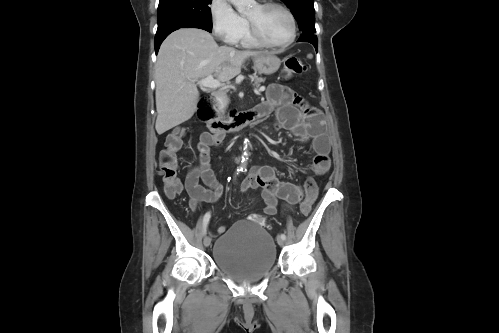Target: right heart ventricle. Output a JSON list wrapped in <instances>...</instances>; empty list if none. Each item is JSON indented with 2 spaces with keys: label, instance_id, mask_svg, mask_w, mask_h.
Wrapping results in <instances>:
<instances>
[{
  "label": "right heart ventricle",
  "instance_id": "1",
  "mask_svg": "<svg viewBox=\"0 0 499 333\" xmlns=\"http://www.w3.org/2000/svg\"><path fill=\"white\" fill-rule=\"evenodd\" d=\"M236 43L247 48H259L262 46L252 38L247 26Z\"/></svg>",
  "mask_w": 499,
  "mask_h": 333
}]
</instances>
